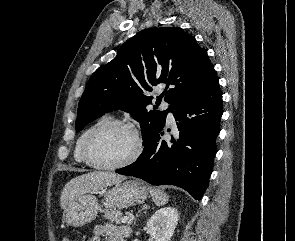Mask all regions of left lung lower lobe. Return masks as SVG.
<instances>
[{
    "instance_id": "0a47b994",
    "label": "left lung lower lobe",
    "mask_w": 295,
    "mask_h": 241,
    "mask_svg": "<svg viewBox=\"0 0 295 241\" xmlns=\"http://www.w3.org/2000/svg\"><path fill=\"white\" fill-rule=\"evenodd\" d=\"M218 80L215 76L175 106V139L162 140L164 123L140 157L116 172L153 185H175L201 199L212 173L223 113Z\"/></svg>"
}]
</instances>
